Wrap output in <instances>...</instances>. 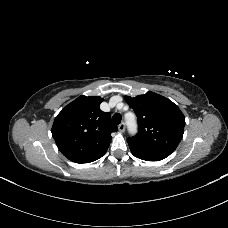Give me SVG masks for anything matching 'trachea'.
<instances>
[{
  "label": "trachea",
  "instance_id": "trachea-1",
  "mask_svg": "<svg viewBox=\"0 0 228 228\" xmlns=\"http://www.w3.org/2000/svg\"><path fill=\"white\" fill-rule=\"evenodd\" d=\"M121 119H122V117H121L120 114H114L113 117H112V121H113V123H114L115 125L120 124Z\"/></svg>",
  "mask_w": 228,
  "mask_h": 228
}]
</instances>
